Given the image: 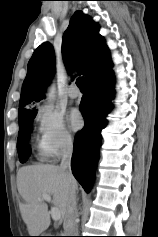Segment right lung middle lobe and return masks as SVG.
Returning <instances> with one entry per match:
<instances>
[{
    "mask_svg": "<svg viewBox=\"0 0 158 237\" xmlns=\"http://www.w3.org/2000/svg\"><path fill=\"white\" fill-rule=\"evenodd\" d=\"M36 115L27 116L19 119V133L17 139V149L21 163H24L31 154L28 141L30 139L32 121Z\"/></svg>",
    "mask_w": 158,
    "mask_h": 237,
    "instance_id": "1",
    "label": "right lung middle lobe"
}]
</instances>
